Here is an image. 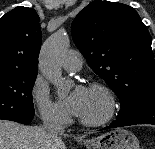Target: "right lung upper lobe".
<instances>
[{
    "instance_id": "cb5924a9",
    "label": "right lung upper lobe",
    "mask_w": 155,
    "mask_h": 149,
    "mask_svg": "<svg viewBox=\"0 0 155 149\" xmlns=\"http://www.w3.org/2000/svg\"><path fill=\"white\" fill-rule=\"evenodd\" d=\"M42 32L34 9L18 6L0 18V72L37 71Z\"/></svg>"
}]
</instances>
